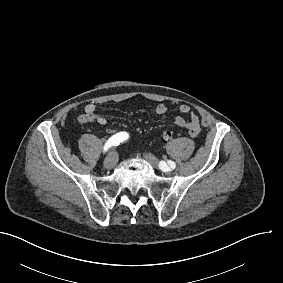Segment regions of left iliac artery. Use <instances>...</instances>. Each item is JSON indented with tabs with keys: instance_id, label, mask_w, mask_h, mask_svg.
I'll list each match as a JSON object with an SVG mask.
<instances>
[{
	"instance_id": "left-iliac-artery-1",
	"label": "left iliac artery",
	"mask_w": 283,
	"mask_h": 283,
	"mask_svg": "<svg viewBox=\"0 0 283 283\" xmlns=\"http://www.w3.org/2000/svg\"><path fill=\"white\" fill-rule=\"evenodd\" d=\"M168 164L174 169L176 167V164L173 161H168ZM163 165V164H161Z\"/></svg>"
}]
</instances>
